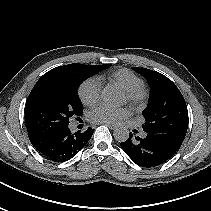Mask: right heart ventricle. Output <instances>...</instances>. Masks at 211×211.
Instances as JSON below:
<instances>
[{
  "instance_id": "e07e8e85",
  "label": "right heart ventricle",
  "mask_w": 211,
  "mask_h": 211,
  "mask_svg": "<svg viewBox=\"0 0 211 211\" xmlns=\"http://www.w3.org/2000/svg\"><path fill=\"white\" fill-rule=\"evenodd\" d=\"M106 79L117 84L123 90H128L143 85V81L139 76L125 68L115 70L106 77L103 76L99 78L100 81Z\"/></svg>"
}]
</instances>
